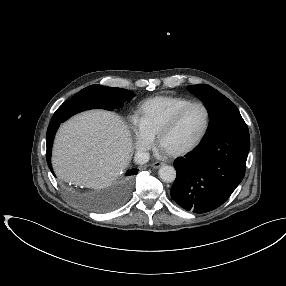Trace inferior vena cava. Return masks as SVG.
Returning <instances> with one entry per match:
<instances>
[{"label": "inferior vena cava", "instance_id": "602c4592", "mask_svg": "<svg viewBox=\"0 0 286 286\" xmlns=\"http://www.w3.org/2000/svg\"><path fill=\"white\" fill-rule=\"evenodd\" d=\"M150 154L146 151H137L134 160L137 164H145L149 161Z\"/></svg>", "mask_w": 286, "mask_h": 286}]
</instances>
